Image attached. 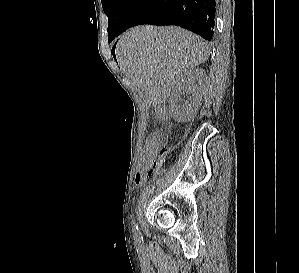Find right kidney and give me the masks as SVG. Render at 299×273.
Listing matches in <instances>:
<instances>
[{
  "mask_svg": "<svg viewBox=\"0 0 299 273\" xmlns=\"http://www.w3.org/2000/svg\"><path fill=\"white\" fill-rule=\"evenodd\" d=\"M206 78L205 71L200 68L190 69L177 78L169 100V108L177 121L185 122L195 115L200 106Z\"/></svg>",
  "mask_w": 299,
  "mask_h": 273,
  "instance_id": "ca27d5eb",
  "label": "right kidney"
}]
</instances>
